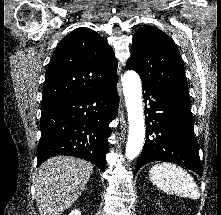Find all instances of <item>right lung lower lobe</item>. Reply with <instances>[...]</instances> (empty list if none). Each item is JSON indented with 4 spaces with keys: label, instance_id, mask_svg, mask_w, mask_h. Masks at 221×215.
Listing matches in <instances>:
<instances>
[{
    "label": "right lung lower lobe",
    "instance_id": "obj_1",
    "mask_svg": "<svg viewBox=\"0 0 221 215\" xmlns=\"http://www.w3.org/2000/svg\"><path fill=\"white\" fill-rule=\"evenodd\" d=\"M117 79L58 106L42 109L37 166L57 155L75 156L105 169L109 123L117 114Z\"/></svg>",
    "mask_w": 221,
    "mask_h": 215
}]
</instances>
